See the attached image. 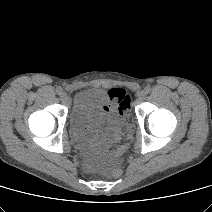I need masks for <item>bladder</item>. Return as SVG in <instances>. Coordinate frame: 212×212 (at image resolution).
Segmentation results:
<instances>
[{
  "instance_id": "31cf9c89",
  "label": "bladder",
  "mask_w": 212,
  "mask_h": 212,
  "mask_svg": "<svg viewBox=\"0 0 212 212\" xmlns=\"http://www.w3.org/2000/svg\"><path fill=\"white\" fill-rule=\"evenodd\" d=\"M101 91L98 89H85L77 93L70 113V123L84 142L94 141L89 131L88 116L91 108L97 103Z\"/></svg>"
}]
</instances>
